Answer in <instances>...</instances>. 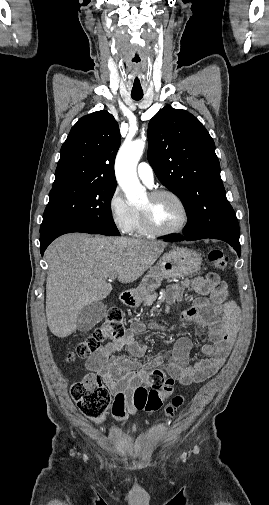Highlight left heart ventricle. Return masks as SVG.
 I'll return each mask as SVG.
<instances>
[{"label":"left heart ventricle","mask_w":269,"mask_h":505,"mask_svg":"<svg viewBox=\"0 0 269 505\" xmlns=\"http://www.w3.org/2000/svg\"><path fill=\"white\" fill-rule=\"evenodd\" d=\"M139 207L147 209L153 223L162 229L174 228L178 226L183 219V211L180 205L169 196L151 199L149 195H147Z\"/></svg>","instance_id":"b2bd125f"}]
</instances>
